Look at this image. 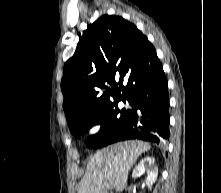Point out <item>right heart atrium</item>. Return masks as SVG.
<instances>
[{
	"label": "right heart atrium",
	"mask_w": 221,
	"mask_h": 193,
	"mask_svg": "<svg viewBox=\"0 0 221 193\" xmlns=\"http://www.w3.org/2000/svg\"><path fill=\"white\" fill-rule=\"evenodd\" d=\"M100 129H101V126H100V125H96V126H94V127L91 129V133H96V132H98Z\"/></svg>",
	"instance_id": "right-heart-atrium-1"
}]
</instances>
